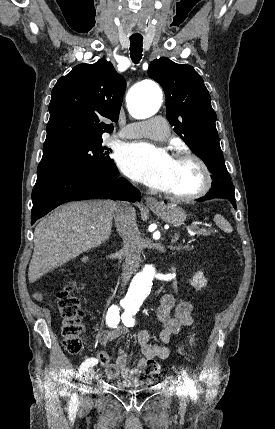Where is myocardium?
<instances>
[{
  "label": "myocardium",
  "instance_id": "1",
  "mask_svg": "<svg viewBox=\"0 0 275 429\" xmlns=\"http://www.w3.org/2000/svg\"><path fill=\"white\" fill-rule=\"evenodd\" d=\"M175 159L188 160V161L194 162L201 171L202 182L200 187L192 193L185 194V195H177V194H172L165 191L164 195L167 198L177 202H189L205 196L209 192L212 186V175L205 161L202 158H200L198 155L190 151H181L177 153L175 156Z\"/></svg>",
  "mask_w": 275,
  "mask_h": 429
}]
</instances>
